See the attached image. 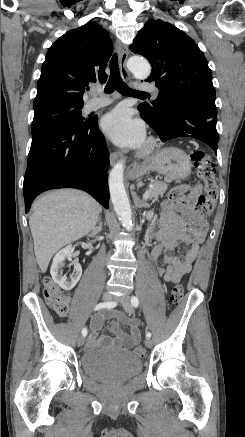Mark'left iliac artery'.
Segmentation results:
<instances>
[{
    "label": "left iliac artery",
    "mask_w": 245,
    "mask_h": 437,
    "mask_svg": "<svg viewBox=\"0 0 245 437\" xmlns=\"http://www.w3.org/2000/svg\"><path fill=\"white\" fill-rule=\"evenodd\" d=\"M131 304H132V306L135 307V308H137V307L139 306V300H138V298H137L136 296H132V297H131ZM146 337H147V338H150V337H151V333H150V332H147V333H146Z\"/></svg>",
    "instance_id": "44dca946"
}]
</instances>
